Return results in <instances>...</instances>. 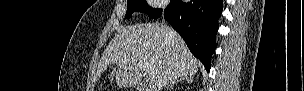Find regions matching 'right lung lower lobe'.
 Instances as JSON below:
<instances>
[{
    "mask_svg": "<svg viewBox=\"0 0 304 91\" xmlns=\"http://www.w3.org/2000/svg\"><path fill=\"white\" fill-rule=\"evenodd\" d=\"M222 0H171L164 10L165 19L182 36L192 54L206 70H210L211 55L216 48L218 18Z\"/></svg>",
    "mask_w": 304,
    "mask_h": 91,
    "instance_id": "98d812e1",
    "label": "right lung lower lobe"
}]
</instances>
